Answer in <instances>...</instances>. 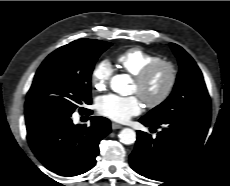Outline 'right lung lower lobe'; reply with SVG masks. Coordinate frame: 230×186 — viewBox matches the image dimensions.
I'll use <instances>...</instances> for the list:
<instances>
[{
  "label": "right lung lower lobe",
  "instance_id": "right-lung-lower-lobe-1",
  "mask_svg": "<svg viewBox=\"0 0 230 186\" xmlns=\"http://www.w3.org/2000/svg\"><path fill=\"white\" fill-rule=\"evenodd\" d=\"M71 114L44 111L25 116L28 143L50 171L76 176L94 167L99 142L110 133V121L92 117L90 127L74 125Z\"/></svg>",
  "mask_w": 230,
  "mask_h": 186
}]
</instances>
